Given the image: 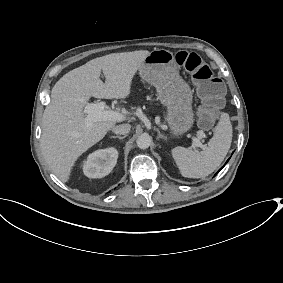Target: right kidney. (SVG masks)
Returning <instances> with one entry per match:
<instances>
[{
	"mask_svg": "<svg viewBox=\"0 0 283 283\" xmlns=\"http://www.w3.org/2000/svg\"><path fill=\"white\" fill-rule=\"evenodd\" d=\"M118 152L114 148L98 150L89 155L84 174L90 178H102L116 165Z\"/></svg>",
	"mask_w": 283,
	"mask_h": 283,
	"instance_id": "right-kidney-1",
	"label": "right kidney"
}]
</instances>
